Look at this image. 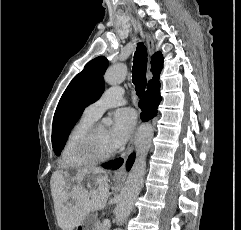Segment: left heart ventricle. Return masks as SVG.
Here are the masks:
<instances>
[{
  "mask_svg": "<svg viewBox=\"0 0 241 230\" xmlns=\"http://www.w3.org/2000/svg\"><path fill=\"white\" fill-rule=\"evenodd\" d=\"M95 144L99 151H107L111 149L108 144V129L103 125L97 127L95 133Z\"/></svg>",
  "mask_w": 241,
  "mask_h": 230,
  "instance_id": "left-heart-ventricle-1",
  "label": "left heart ventricle"
}]
</instances>
